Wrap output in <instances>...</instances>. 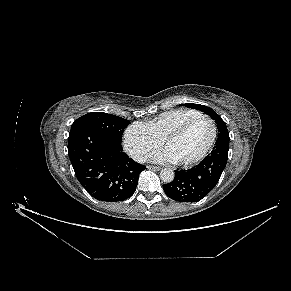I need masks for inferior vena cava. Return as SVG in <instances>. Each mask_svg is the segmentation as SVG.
<instances>
[{
	"label": "inferior vena cava",
	"mask_w": 291,
	"mask_h": 291,
	"mask_svg": "<svg viewBox=\"0 0 291 291\" xmlns=\"http://www.w3.org/2000/svg\"><path fill=\"white\" fill-rule=\"evenodd\" d=\"M132 157L135 161L139 163L145 162L147 160V156L142 152H137Z\"/></svg>",
	"instance_id": "1"
}]
</instances>
